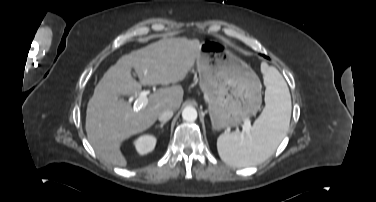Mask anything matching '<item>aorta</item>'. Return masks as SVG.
Wrapping results in <instances>:
<instances>
[{
  "mask_svg": "<svg viewBox=\"0 0 376 202\" xmlns=\"http://www.w3.org/2000/svg\"><path fill=\"white\" fill-rule=\"evenodd\" d=\"M184 121L193 122L197 119V110L192 106H187L182 111Z\"/></svg>",
  "mask_w": 376,
  "mask_h": 202,
  "instance_id": "1",
  "label": "aorta"
}]
</instances>
